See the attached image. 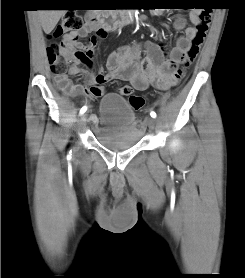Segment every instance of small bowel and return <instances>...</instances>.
Returning a JSON list of instances; mask_svg holds the SVG:
<instances>
[{"instance_id":"c3829d8e","label":"small bowel","mask_w":245,"mask_h":278,"mask_svg":"<svg viewBox=\"0 0 245 278\" xmlns=\"http://www.w3.org/2000/svg\"><path fill=\"white\" fill-rule=\"evenodd\" d=\"M197 19V13L190 14V20L194 25ZM174 29H184L185 35L176 40L172 49L168 50L160 43L147 41L144 43V48L148 56L142 61H137L138 48L121 47L110 54L106 71L96 68L91 60L93 48L107 34L104 29H97L91 23L79 32L67 34L63 37L62 42L86 51L88 56L83 62H72L63 78H55L57 85L62 92L68 95L76 90H85V94L91 99L103 95L105 91L103 84L111 81H129L132 87L138 91H145L151 86L159 89L167 88L175 80L170 68L185 61L186 53L196 35L195 27H186V21L181 17L174 22ZM91 31H94L93 35H90ZM79 37L88 38V43L78 42ZM81 66H84L85 69H82ZM79 74L83 75L84 83H72L69 77ZM62 79L66 80L68 84H63ZM85 84H91V86L87 87Z\"/></svg>"}]
</instances>
